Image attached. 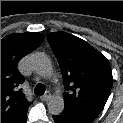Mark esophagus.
<instances>
[{
  "label": "esophagus",
  "mask_w": 123,
  "mask_h": 123,
  "mask_svg": "<svg viewBox=\"0 0 123 123\" xmlns=\"http://www.w3.org/2000/svg\"><path fill=\"white\" fill-rule=\"evenodd\" d=\"M50 98H51V93L49 91L40 97L42 101H48Z\"/></svg>",
  "instance_id": "esophagus-1"
}]
</instances>
